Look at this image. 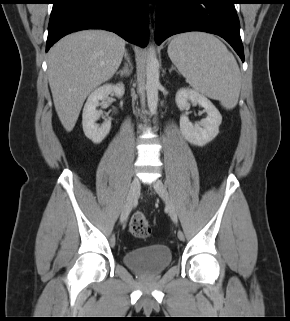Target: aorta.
I'll return each mask as SVG.
<instances>
[{"label":"aorta","instance_id":"1","mask_svg":"<svg viewBox=\"0 0 290 321\" xmlns=\"http://www.w3.org/2000/svg\"><path fill=\"white\" fill-rule=\"evenodd\" d=\"M159 75V62L156 53L150 49L146 65V92L148 108L152 114L156 113L158 107Z\"/></svg>","mask_w":290,"mask_h":321}]
</instances>
